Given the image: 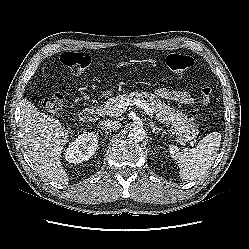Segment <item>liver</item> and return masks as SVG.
Returning <instances> with one entry per match:
<instances>
[{"label": "liver", "instance_id": "1", "mask_svg": "<svg viewBox=\"0 0 249 249\" xmlns=\"http://www.w3.org/2000/svg\"><path fill=\"white\" fill-rule=\"evenodd\" d=\"M20 114L19 136L37 171L52 181L68 184L67 173L60 161L68 135L61 123L41 113L26 99L21 102Z\"/></svg>", "mask_w": 249, "mask_h": 249}]
</instances>
